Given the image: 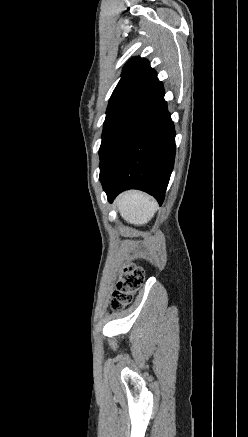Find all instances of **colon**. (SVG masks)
Returning <instances> with one entry per match:
<instances>
[{
    "label": "colon",
    "instance_id": "1",
    "mask_svg": "<svg viewBox=\"0 0 248 437\" xmlns=\"http://www.w3.org/2000/svg\"><path fill=\"white\" fill-rule=\"evenodd\" d=\"M145 279L144 270L137 266H126L118 277L112 294L111 308L120 310L128 305Z\"/></svg>",
    "mask_w": 248,
    "mask_h": 437
}]
</instances>
